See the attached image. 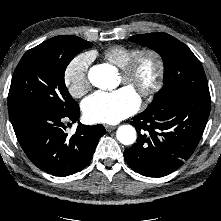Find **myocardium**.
Returning <instances> with one entry per match:
<instances>
[{
  "label": "myocardium",
  "mask_w": 221,
  "mask_h": 221,
  "mask_svg": "<svg viewBox=\"0 0 221 221\" xmlns=\"http://www.w3.org/2000/svg\"><path fill=\"white\" fill-rule=\"evenodd\" d=\"M145 57H152L154 59L156 63V76L148 88L140 91L139 96L144 100H150L160 91L165 78V62L158 51L150 48L138 51L129 62L121 68V75L126 84L132 82L140 62Z\"/></svg>",
  "instance_id": "1"
}]
</instances>
